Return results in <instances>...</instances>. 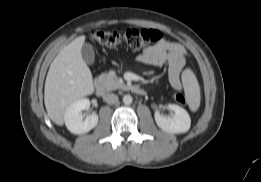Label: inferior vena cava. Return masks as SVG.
Instances as JSON below:
<instances>
[{
    "label": "inferior vena cava",
    "instance_id": "inferior-vena-cava-1",
    "mask_svg": "<svg viewBox=\"0 0 261 182\" xmlns=\"http://www.w3.org/2000/svg\"><path fill=\"white\" fill-rule=\"evenodd\" d=\"M103 100L108 104H115L118 102V96L113 93H106L103 96Z\"/></svg>",
    "mask_w": 261,
    "mask_h": 182
}]
</instances>
